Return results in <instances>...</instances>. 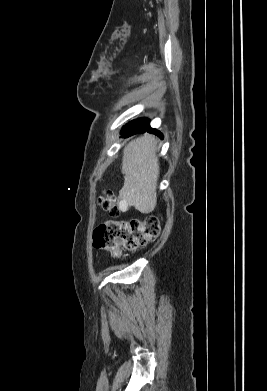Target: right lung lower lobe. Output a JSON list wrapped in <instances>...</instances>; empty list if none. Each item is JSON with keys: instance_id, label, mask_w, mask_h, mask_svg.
Instances as JSON below:
<instances>
[{"instance_id": "right-lung-lower-lobe-1", "label": "right lung lower lobe", "mask_w": 267, "mask_h": 391, "mask_svg": "<svg viewBox=\"0 0 267 391\" xmlns=\"http://www.w3.org/2000/svg\"><path fill=\"white\" fill-rule=\"evenodd\" d=\"M150 132L159 135L162 137L161 133L158 132L155 129H152L149 126V120L146 118L134 120L127 125L124 126V128L121 131V134L123 137H129L131 135L137 134V133H142V132Z\"/></svg>"}]
</instances>
